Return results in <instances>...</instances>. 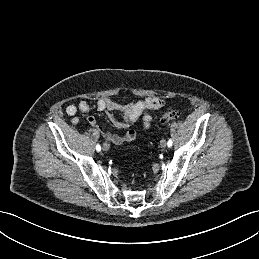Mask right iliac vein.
I'll use <instances>...</instances> for the list:
<instances>
[{"label": "right iliac vein", "mask_w": 259, "mask_h": 259, "mask_svg": "<svg viewBox=\"0 0 259 259\" xmlns=\"http://www.w3.org/2000/svg\"><path fill=\"white\" fill-rule=\"evenodd\" d=\"M102 148H103L104 151H108L110 146H109L108 143H104Z\"/></svg>", "instance_id": "obj_1"}]
</instances>
